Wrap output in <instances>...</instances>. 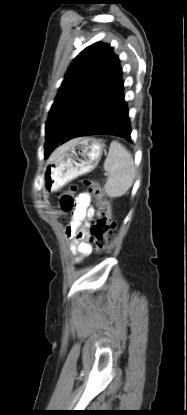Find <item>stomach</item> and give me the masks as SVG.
<instances>
[{
	"mask_svg": "<svg viewBox=\"0 0 187 415\" xmlns=\"http://www.w3.org/2000/svg\"><path fill=\"white\" fill-rule=\"evenodd\" d=\"M104 146L102 140L93 137L72 140L68 149L46 164L43 171L44 191H56L78 176L92 171L100 161Z\"/></svg>",
	"mask_w": 187,
	"mask_h": 415,
	"instance_id": "obj_1",
	"label": "stomach"
}]
</instances>
